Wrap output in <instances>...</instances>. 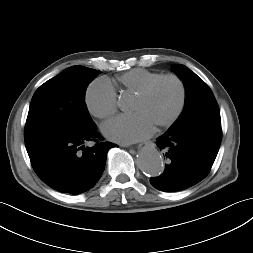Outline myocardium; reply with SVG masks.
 I'll use <instances>...</instances> for the list:
<instances>
[{
    "label": "myocardium",
    "instance_id": "f54148a6",
    "mask_svg": "<svg viewBox=\"0 0 253 253\" xmlns=\"http://www.w3.org/2000/svg\"><path fill=\"white\" fill-rule=\"evenodd\" d=\"M166 80L173 81L178 86L179 101L173 114L167 120L157 124L159 128H167L171 126L177 121V119L182 114L185 104H186V97H187V91H186V86H185L184 81L175 74H164L148 82L142 89H140L135 94L136 97H140V98L146 97L159 83Z\"/></svg>",
    "mask_w": 253,
    "mask_h": 253
}]
</instances>
